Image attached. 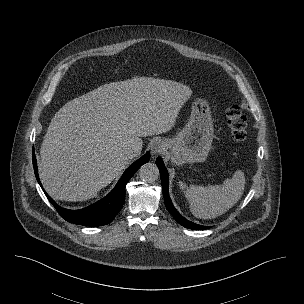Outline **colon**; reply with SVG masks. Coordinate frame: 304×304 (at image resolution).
Wrapping results in <instances>:
<instances>
[{"instance_id":"5ec220e1","label":"colon","mask_w":304,"mask_h":304,"mask_svg":"<svg viewBox=\"0 0 304 304\" xmlns=\"http://www.w3.org/2000/svg\"><path fill=\"white\" fill-rule=\"evenodd\" d=\"M227 125L235 142H242L247 136V118L237 105H231L226 110Z\"/></svg>"}]
</instances>
